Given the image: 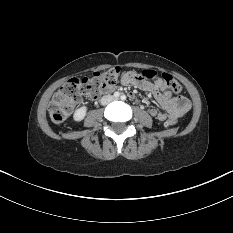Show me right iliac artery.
<instances>
[{"mask_svg": "<svg viewBox=\"0 0 233 233\" xmlns=\"http://www.w3.org/2000/svg\"><path fill=\"white\" fill-rule=\"evenodd\" d=\"M114 96H115L116 98H118V97L120 96V93H119V92H115V93H114Z\"/></svg>", "mask_w": 233, "mask_h": 233, "instance_id": "obj_1", "label": "right iliac artery"}]
</instances>
